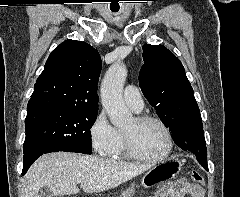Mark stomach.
<instances>
[{
    "label": "stomach",
    "instance_id": "1",
    "mask_svg": "<svg viewBox=\"0 0 240 197\" xmlns=\"http://www.w3.org/2000/svg\"><path fill=\"white\" fill-rule=\"evenodd\" d=\"M182 167V160L172 158L168 162L157 165L149 169L141 179L144 188L154 187L165 180L174 178ZM135 193L133 187L124 190L120 197H132Z\"/></svg>",
    "mask_w": 240,
    "mask_h": 197
}]
</instances>
